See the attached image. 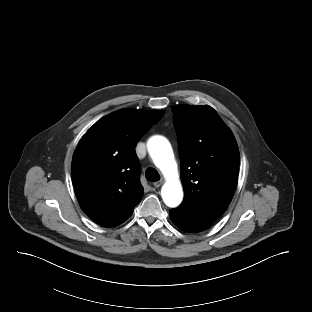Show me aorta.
<instances>
[{
	"label": "aorta",
	"instance_id": "aorta-1",
	"mask_svg": "<svg viewBox=\"0 0 312 312\" xmlns=\"http://www.w3.org/2000/svg\"><path fill=\"white\" fill-rule=\"evenodd\" d=\"M147 147L155 165L166 178L161 190L164 203L169 207L178 206L183 199V191L170 143L162 136H153L149 139Z\"/></svg>",
	"mask_w": 312,
	"mask_h": 312
}]
</instances>
